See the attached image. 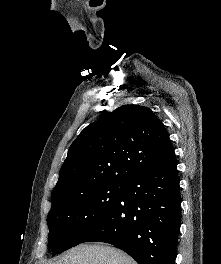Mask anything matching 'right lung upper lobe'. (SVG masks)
I'll return each instance as SVG.
<instances>
[{
    "label": "right lung upper lobe",
    "instance_id": "cb5924a9",
    "mask_svg": "<svg viewBox=\"0 0 221 264\" xmlns=\"http://www.w3.org/2000/svg\"><path fill=\"white\" fill-rule=\"evenodd\" d=\"M175 156L163 123L147 107L123 105L86 127L70 146L52 208L96 186L125 182Z\"/></svg>",
    "mask_w": 221,
    "mask_h": 264
}]
</instances>
